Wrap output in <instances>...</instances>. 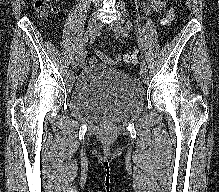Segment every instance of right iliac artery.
Wrapping results in <instances>:
<instances>
[{
  "label": "right iliac artery",
  "mask_w": 219,
  "mask_h": 192,
  "mask_svg": "<svg viewBox=\"0 0 219 192\" xmlns=\"http://www.w3.org/2000/svg\"><path fill=\"white\" fill-rule=\"evenodd\" d=\"M93 33V31L87 30L80 45H79V50L78 53L83 57H85V52H84V46L86 45V43L88 42L89 37L91 36V34Z\"/></svg>",
  "instance_id": "1"
}]
</instances>
